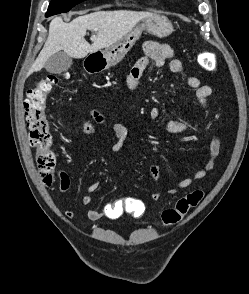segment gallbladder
Listing matches in <instances>:
<instances>
[{
    "instance_id": "bac80fb5",
    "label": "gallbladder",
    "mask_w": 249,
    "mask_h": 294,
    "mask_svg": "<svg viewBox=\"0 0 249 294\" xmlns=\"http://www.w3.org/2000/svg\"><path fill=\"white\" fill-rule=\"evenodd\" d=\"M71 65L72 57L63 51H59L48 58L45 63V69L49 73L61 74L70 69Z\"/></svg>"
}]
</instances>
